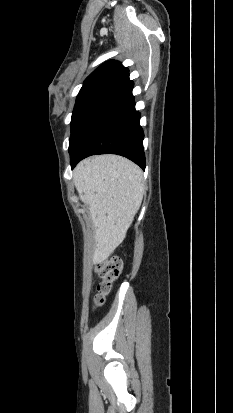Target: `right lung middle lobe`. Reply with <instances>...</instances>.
<instances>
[{"label": "right lung middle lobe", "mask_w": 233, "mask_h": 413, "mask_svg": "<svg viewBox=\"0 0 233 413\" xmlns=\"http://www.w3.org/2000/svg\"><path fill=\"white\" fill-rule=\"evenodd\" d=\"M116 81L101 80L84 85L76 99L71 120L69 152L75 145L91 113Z\"/></svg>", "instance_id": "1"}]
</instances>
